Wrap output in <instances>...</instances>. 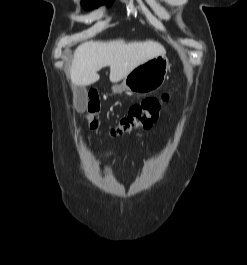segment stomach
I'll return each instance as SVG.
<instances>
[{
    "instance_id": "0dacf381",
    "label": "stomach",
    "mask_w": 247,
    "mask_h": 265,
    "mask_svg": "<svg viewBox=\"0 0 247 265\" xmlns=\"http://www.w3.org/2000/svg\"><path fill=\"white\" fill-rule=\"evenodd\" d=\"M169 69V60L166 55H159L133 69L124 77L120 85L112 86L113 93L130 91L148 94L159 89Z\"/></svg>"
}]
</instances>
